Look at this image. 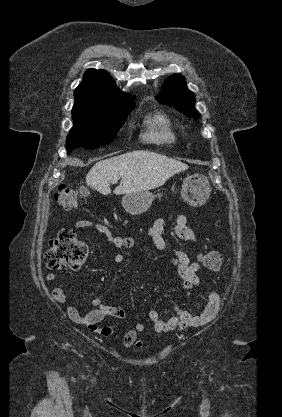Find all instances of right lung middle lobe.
<instances>
[{"label":"right lung middle lobe","instance_id":"right-lung-middle-lobe-1","mask_svg":"<svg viewBox=\"0 0 282 417\" xmlns=\"http://www.w3.org/2000/svg\"><path fill=\"white\" fill-rule=\"evenodd\" d=\"M133 96L75 97L74 127L66 139L67 153L76 147L93 149L112 142L134 109Z\"/></svg>","mask_w":282,"mask_h":417}]
</instances>
